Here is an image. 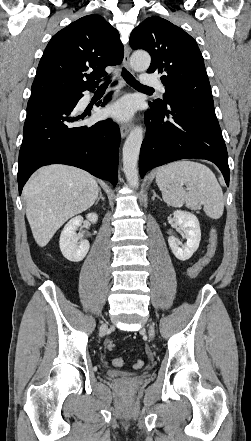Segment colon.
<instances>
[{
    "mask_svg": "<svg viewBox=\"0 0 251 441\" xmlns=\"http://www.w3.org/2000/svg\"><path fill=\"white\" fill-rule=\"evenodd\" d=\"M217 244H218L217 232L215 229H213L209 235L206 253L196 264H194L191 267V269L189 271L190 277H195L211 261V259L215 255V252L217 249ZM115 347H116L115 342H113V341L108 342V344H107L108 350L112 351L115 349ZM112 363L114 366H117V367L122 366L123 359L122 358H114ZM143 365H144V363L142 360H137L134 363V368L140 369V368H142Z\"/></svg>",
    "mask_w": 251,
    "mask_h": 441,
    "instance_id": "obj_1",
    "label": "colon"
}]
</instances>
